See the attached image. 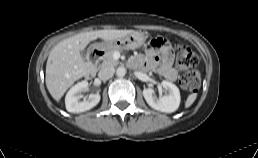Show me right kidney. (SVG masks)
Instances as JSON below:
<instances>
[{
  "instance_id": "1",
  "label": "right kidney",
  "mask_w": 258,
  "mask_h": 158,
  "mask_svg": "<svg viewBox=\"0 0 258 158\" xmlns=\"http://www.w3.org/2000/svg\"><path fill=\"white\" fill-rule=\"evenodd\" d=\"M88 89V82L86 80L81 81L74 85L66 94L65 105L68 112L81 113L95 107L100 101V94H90L88 99L80 101L81 91Z\"/></svg>"
}]
</instances>
